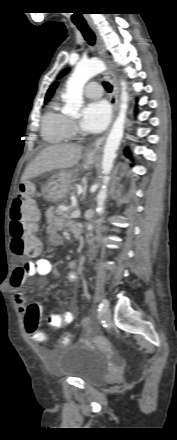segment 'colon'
Returning <instances> with one entry per match:
<instances>
[{
  "instance_id": "5ec220e1",
  "label": "colon",
  "mask_w": 177,
  "mask_h": 440,
  "mask_svg": "<svg viewBox=\"0 0 177 440\" xmlns=\"http://www.w3.org/2000/svg\"><path fill=\"white\" fill-rule=\"evenodd\" d=\"M36 189L33 184L26 183L20 188V192L14 198L10 210V235L11 250L13 254L20 260L28 256L38 253L39 243L35 238L37 231V222L39 220V212L34 204ZM25 315V328L32 342H46L47 335L38 330L40 320V304L46 306L49 303L47 298H35ZM71 344V336L63 334L61 336V345L69 346Z\"/></svg>"
}]
</instances>
